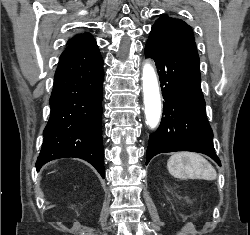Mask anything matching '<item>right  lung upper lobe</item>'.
<instances>
[{"mask_svg":"<svg viewBox=\"0 0 250 235\" xmlns=\"http://www.w3.org/2000/svg\"><path fill=\"white\" fill-rule=\"evenodd\" d=\"M95 41L94 38L92 37V35L88 32H86L85 34L81 35V34H77L75 35L73 38L69 39L67 42V48L65 49V51L69 48H73L74 46H77L79 44H85L88 42H92Z\"/></svg>","mask_w":250,"mask_h":235,"instance_id":"right-lung-upper-lobe-1","label":"right lung upper lobe"}]
</instances>
